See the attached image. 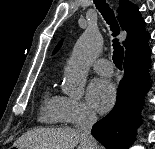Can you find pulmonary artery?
I'll return each instance as SVG.
<instances>
[{
    "label": "pulmonary artery",
    "instance_id": "obj_1",
    "mask_svg": "<svg viewBox=\"0 0 155 149\" xmlns=\"http://www.w3.org/2000/svg\"><path fill=\"white\" fill-rule=\"evenodd\" d=\"M92 67L100 75H103V76L113 75V66L109 60L98 59L93 62Z\"/></svg>",
    "mask_w": 155,
    "mask_h": 149
}]
</instances>
